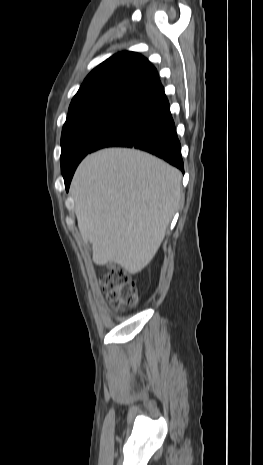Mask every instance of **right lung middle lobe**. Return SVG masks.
<instances>
[{"label": "right lung middle lobe", "instance_id": "dd1d6c3e", "mask_svg": "<svg viewBox=\"0 0 263 465\" xmlns=\"http://www.w3.org/2000/svg\"><path fill=\"white\" fill-rule=\"evenodd\" d=\"M137 102L103 98L70 109L61 135V171L73 172L98 140Z\"/></svg>", "mask_w": 263, "mask_h": 465}]
</instances>
